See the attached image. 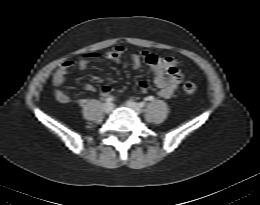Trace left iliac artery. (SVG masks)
Returning a JSON list of instances; mask_svg holds the SVG:
<instances>
[{"instance_id": "1", "label": "left iliac artery", "mask_w": 260, "mask_h": 205, "mask_svg": "<svg viewBox=\"0 0 260 205\" xmlns=\"http://www.w3.org/2000/svg\"><path fill=\"white\" fill-rule=\"evenodd\" d=\"M148 99H149V100H152L153 97L150 96V97H148ZM139 106H140L141 108H143V107L145 106V103H144V102H140V103H139Z\"/></svg>"}]
</instances>
